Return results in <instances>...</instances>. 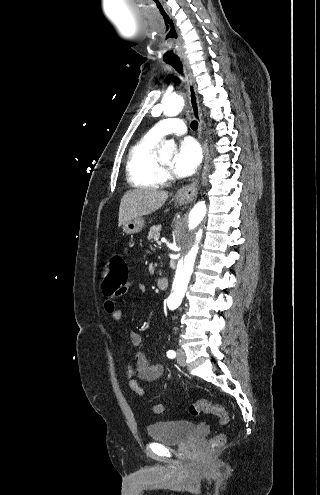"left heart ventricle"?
I'll list each match as a JSON object with an SVG mask.
<instances>
[{
	"instance_id": "1",
	"label": "left heart ventricle",
	"mask_w": 320,
	"mask_h": 495,
	"mask_svg": "<svg viewBox=\"0 0 320 495\" xmlns=\"http://www.w3.org/2000/svg\"><path fill=\"white\" fill-rule=\"evenodd\" d=\"M161 161L166 164V165H170L172 163V160H173V156L172 155H168V156H163L160 158Z\"/></svg>"
}]
</instances>
